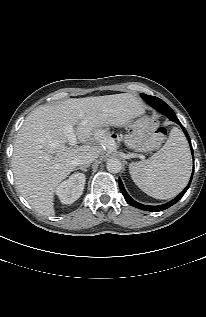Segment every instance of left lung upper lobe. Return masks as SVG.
<instances>
[{"label":"left lung upper lobe","instance_id":"1","mask_svg":"<svg viewBox=\"0 0 206 317\" xmlns=\"http://www.w3.org/2000/svg\"><path fill=\"white\" fill-rule=\"evenodd\" d=\"M141 96L146 102H148L149 100L155 101L156 103L163 106L165 109L172 111V109L164 101H162L161 99L157 97L146 95V94H142Z\"/></svg>","mask_w":206,"mask_h":317}]
</instances>
